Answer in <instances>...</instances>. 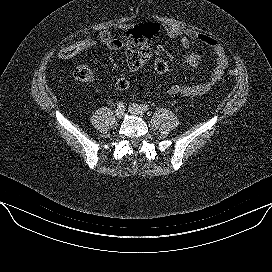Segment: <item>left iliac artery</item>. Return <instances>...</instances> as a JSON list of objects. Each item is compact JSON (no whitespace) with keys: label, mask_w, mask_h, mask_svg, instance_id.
I'll return each instance as SVG.
<instances>
[{"label":"left iliac artery","mask_w":272,"mask_h":272,"mask_svg":"<svg viewBox=\"0 0 272 272\" xmlns=\"http://www.w3.org/2000/svg\"><path fill=\"white\" fill-rule=\"evenodd\" d=\"M141 106H142V108H143L144 111H148L149 110V106L147 104H142Z\"/></svg>","instance_id":"obj_1"}]
</instances>
